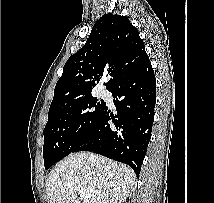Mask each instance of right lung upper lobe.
<instances>
[{
  "mask_svg": "<svg viewBox=\"0 0 214 203\" xmlns=\"http://www.w3.org/2000/svg\"><path fill=\"white\" fill-rule=\"evenodd\" d=\"M149 63L144 42L129 19L105 14L94 24L85 45L65 63L49 111L90 96L102 76L109 77V90Z\"/></svg>",
  "mask_w": 214,
  "mask_h": 203,
  "instance_id": "cb5924a9",
  "label": "right lung upper lobe"
}]
</instances>
